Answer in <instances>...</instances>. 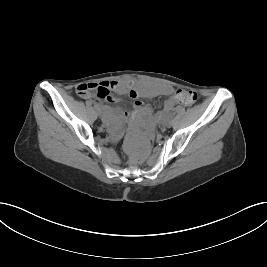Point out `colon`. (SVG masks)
I'll return each mask as SVG.
<instances>
[{
	"label": "colon",
	"instance_id": "1",
	"mask_svg": "<svg viewBox=\"0 0 267 267\" xmlns=\"http://www.w3.org/2000/svg\"><path fill=\"white\" fill-rule=\"evenodd\" d=\"M113 89L105 86L103 82L89 83L80 88L81 97L98 96L99 98L109 100L111 99ZM176 99L179 103L189 106L197 100V94L192 90H179L176 93Z\"/></svg>",
	"mask_w": 267,
	"mask_h": 267
}]
</instances>
